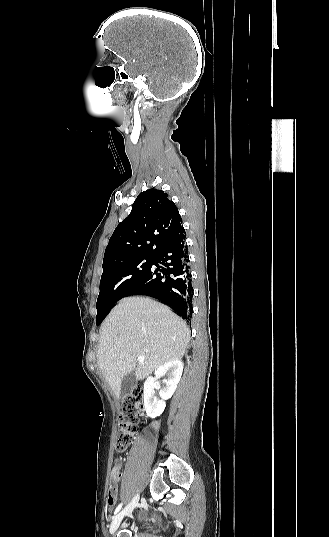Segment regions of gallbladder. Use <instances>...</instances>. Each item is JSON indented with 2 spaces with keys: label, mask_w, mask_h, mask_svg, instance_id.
Listing matches in <instances>:
<instances>
[{
  "label": "gallbladder",
  "mask_w": 329,
  "mask_h": 537,
  "mask_svg": "<svg viewBox=\"0 0 329 537\" xmlns=\"http://www.w3.org/2000/svg\"><path fill=\"white\" fill-rule=\"evenodd\" d=\"M136 386V375L134 371H131L125 375L121 382V397L131 394Z\"/></svg>",
  "instance_id": "1"
}]
</instances>
